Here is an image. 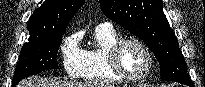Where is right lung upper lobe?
I'll return each instance as SVG.
<instances>
[{
  "label": "right lung upper lobe",
  "mask_w": 205,
  "mask_h": 87,
  "mask_svg": "<svg viewBox=\"0 0 205 87\" xmlns=\"http://www.w3.org/2000/svg\"><path fill=\"white\" fill-rule=\"evenodd\" d=\"M85 0H46L28 21L29 38L64 33Z\"/></svg>",
  "instance_id": "obj_1"
}]
</instances>
